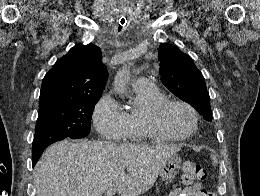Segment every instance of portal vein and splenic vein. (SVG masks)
<instances>
[{"instance_id": "portal-vein-and-splenic-vein-1", "label": "portal vein and splenic vein", "mask_w": 260, "mask_h": 196, "mask_svg": "<svg viewBox=\"0 0 260 196\" xmlns=\"http://www.w3.org/2000/svg\"><path fill=\"white\" fill-rule=\"evenodd\" d=\"M116 192H117L116 188H109V190L105 192V196H115Z\"/></svg>"}]
</instances>
